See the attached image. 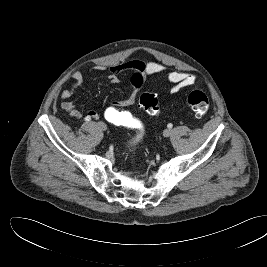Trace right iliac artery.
<instances>
[{"label": "right iliac artery", "instance_id": "obj_1", "mask_svg": "<svg viewBox=\"0 0 267 267\" xmlns=\"http://www.w3.org/2000/svg\"><path fill=\"white\" fill-rule=\"evenodd\" d=\"M86 121H90V118H85Z\"/></svg>", "mask_w": 267, "mask_h": 267}]
</instances>
